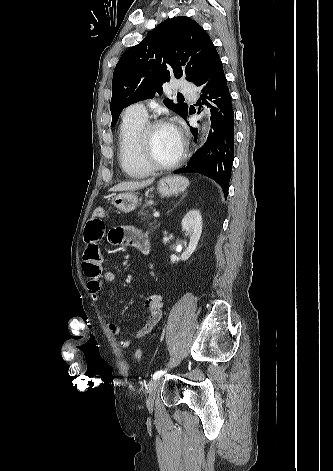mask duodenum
<instances>
[{"mask_svg":"<svg viewBox=\"0 0 333 471\" xmlns=\"http://www.w3.org/2000/svg\"><path fill=\"white\" fill-rule=\"evenodd\" d=\"M140 251L143 252L144 254H148L150 251V243L148 240H145L141 243L139 247Z\"/></svg>","mask_w":333,"mask_h":471,"instance_id":"obj_1","label":"duodenum"}]
</instances>
